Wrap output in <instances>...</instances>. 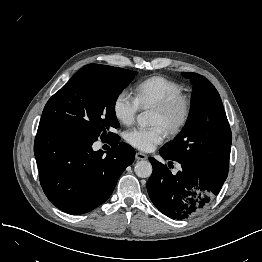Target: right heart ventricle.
Masks as SVG:
<instances>
[{"instance_id":"obj_1","label":"right heart ventricle","mask_w":262,"mask_h":262,"mask_svg":"<svg viewBox=\"0 0 262 262\" xmlns=\"http://www.w3.org/2000/svg\"><path fill=\"white\" fill-rule=\"evenodd\" d=\"M182 94L180 84L164 76H152L138 83L134 98L141 108H153L165 99Z\"/></svg>"}]
</instances>
